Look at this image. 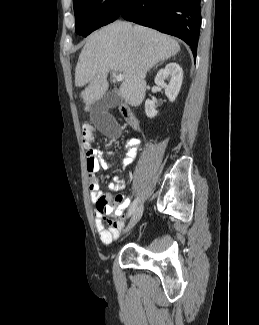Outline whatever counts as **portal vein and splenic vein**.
Here are the masks:
<instances>
[{"mask_svg": "<svg viewBox=\"0 0 259 325\" xmlns=\"http://www.w3.org/2000/svg\"><path fill=\"white\" fill-rule=\"evenodd\" d=\"M114 79L118 82H121L124 80V75L122 73L116 74L115 72L112 73Z\"/></svg>", "mask_w": 259, "mask_h": 325, "instance_id": "portal-vein-and-splenic-vein-1", "label": "portal vein and splenic vein"}]
</instances>
